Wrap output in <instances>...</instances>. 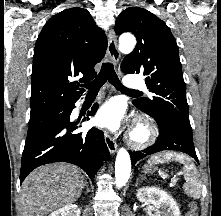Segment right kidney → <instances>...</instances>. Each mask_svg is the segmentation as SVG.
<instances>
[{
  "mask_svg": "<svg viewBox=\"0 0 221 216\" xmlns=\"http://www.w3.org/2000/svg\"><path fill=\"white\" fill-rule=\"evenodd\" d=\"M49 216H80V209L71 204L52 212Z\"/></svg>",
  "mask_w": 221,
  "mask_h": 216,
  "instance_id": "right-kidney-1",
  "label": "right kidney"
}]
</instances>
